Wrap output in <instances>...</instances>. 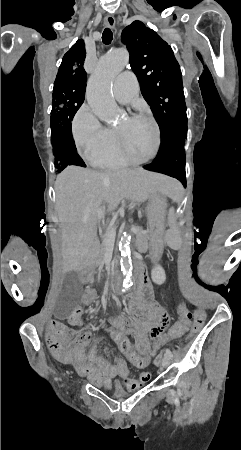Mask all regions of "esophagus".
Returning <instances> with one entry per match:
<instances>
[{
	"label": "esophagus",
	"mask_w": 241,
	"mask_h": 450,
	"mask_svg": "<svg viewBox=\"0 0 241 450\" xmlns=\"http://www.w3.org/2000/svg\"><path fill=\"white\" fill-rule=\"evenodd\" d=\"M104 22L108 27H114L115 26V19L112 15H108L105 17Z\"/></svg>",
	"instance_id": "esophagus-1"
}]
</instances>
